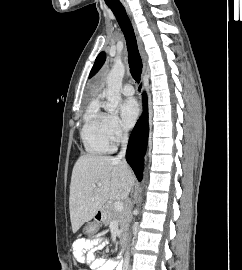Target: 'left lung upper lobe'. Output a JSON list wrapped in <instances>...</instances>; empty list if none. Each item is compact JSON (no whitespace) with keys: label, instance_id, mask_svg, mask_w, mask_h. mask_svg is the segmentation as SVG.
Wrapping results in <instances>:
<instances>
[{"label":"left lung upper lobe","instance_id":"left-lung-upper-lobe-1","mask_svg":"<svg viewBox=\"0 0 242 270\" xmlns=\"http://www.w3.org/2000/svg\"><path fill=\"white\" fill-rule=\"evenodd\" d=\"M106 59L105 53L101 52L95 60L94 66L90 72V77H92L103 65Z\"/></svg>","mask_w":242,"mask_h":270}]
</instances>
